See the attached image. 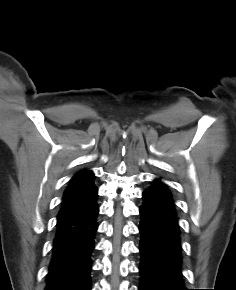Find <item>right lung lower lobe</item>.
Returning <instances> with one entry per match:
<instances>
[{
  "label": "right lung lower lobe",
  "instance_id": "1",
  "mask_svg": "<svg viewBox=\"0 0 236 290\" xmlns=\"http://www.w3.org/2000/svg\"><path fill=\"white\" fill-rule=\"evenodd\" d=\"M96 196L86 205L57 217L47 290H91V256L99 207Z\"/></svg>",
  "mask_w": 236,
  "mask_h": 290
}]
</instances>
